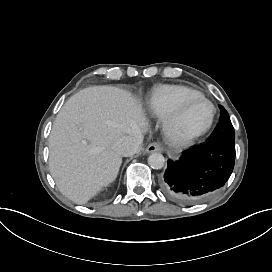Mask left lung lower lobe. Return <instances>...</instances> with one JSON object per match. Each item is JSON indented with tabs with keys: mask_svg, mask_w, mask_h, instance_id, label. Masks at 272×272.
I'll list each match as a JSON object with an SVG mask.
<instances>
[{
	"mask_svg": "<svg viewBox=\"0 0 272 272\" xmlns=\"http://www.w3.org/2000/svg\"><path fill=\"white\" fill-rule=\"evenodd\" d=\"M235 163V147L205 143L183 153L179 161H168L160 179L163 192L183 205L204 201L229 179Z\"/></svg>",
	"mask_w": 272,
	"mask_h": 272,
	"instance_id": "left-lung-lower-lobe-1",
	"label": "left lung lower lobe"
}]
</instances>
